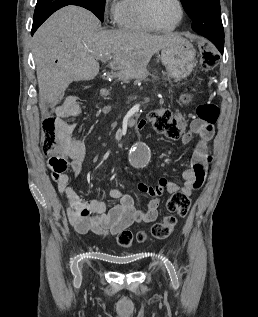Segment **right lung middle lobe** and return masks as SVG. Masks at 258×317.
Here are the masks:
<instances>
[{"label":"right lung middle lobe","mask_w":258,"mask_h":317,"mask_svg":"<svg viewBox=\"0 0 258 317\" xmlns=\"http://www.w3.org/2000/svg\"><path fill=\"white\" fill-rule=\"evenodd\" d=\"M89 7L101 22H103V14L105 9V0H89Z\"/></svg>","instance_id":"right-lung-middle-lobe-1"}]
</instances>
